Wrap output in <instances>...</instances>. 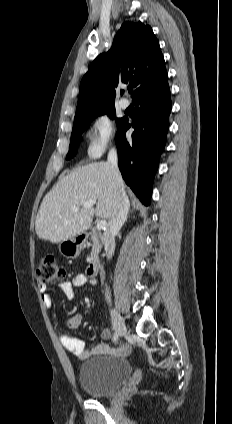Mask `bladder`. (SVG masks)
<instances>
[{
	"label": "bladder",
	"mask_w": 232,
	"mask_h": 424,
	"mask_svg": "<svg viewBox=\"0 0 232 424\" xmlns=\"http://www.w3.org/2000/svg\"><path fill=\"white\" fill-rule=\"evenodd\" d=\"M131 371L126 359L94 357L80 365L78 382L91 397L104 398L116 393L129 378Z\"/></svg>",
	"instance_id": "bladder-1"
}]
</instances>
